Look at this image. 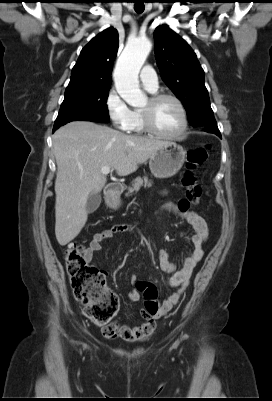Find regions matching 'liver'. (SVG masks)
<instances>
[{
	"label": "liver",
	"instance_id": "liver-1",
	"mask_svg": "<svg viewBox=\"0 0 272 401\" xmlns=\"http://www.w3.org/2000/svg\"><path fill=\"white\" fill-rule=\"evenodd\" d=\"M168 143L126 135L90 121H73L60 127L53 135L58 243L68 244L84 227L87 199L106 183L102 167L115 169L120 176L129 175Z\"/></svg>",
	"mask_w": 272,
	"mask_h": 401
}]
</instances>
